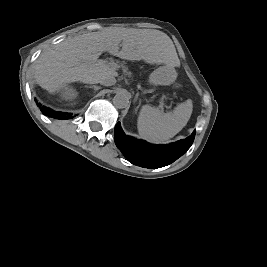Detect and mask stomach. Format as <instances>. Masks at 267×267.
<instances>
[{
	"label": "stomach",
	"mask_w": 267,
	"mask_h": 267,
	"mask_svg": "<svg viewBox=\"0 0 267 267\" xmlns=\"http://www.w3.org/2000/svg\"><path fill=\"white\" fill-rule=\"evenodd\" d=\"M176 71L168 66H161L149 76V83L153 85H169L174 82Z\"/></svg>",
	"instance_id": "0dacf381"
}]
</instances>
